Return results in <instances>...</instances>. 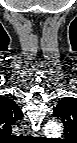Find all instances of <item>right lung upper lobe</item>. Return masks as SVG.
<instances>
[{"mask_svg": "<svg viewBox=\"0 0 77 143\" xmlns=\"http://www.w3.org/2000/svg\"><path fill=\"white\" fill-rule=\"evenodd\" d=\"M22 117V111L12 99L6 97L0 98V130L2 132L10 134L12 131L11 126Z\"/></svg>", "mask_w": 77, "mask_h": 143, "instance_id": "right-lung-upper-lobe-1", "label": "right lung upper lobe"}]
</instances>
